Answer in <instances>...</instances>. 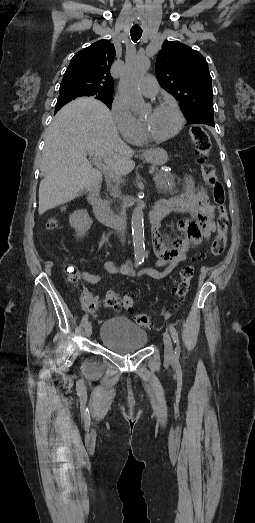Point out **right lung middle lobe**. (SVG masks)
<instances>
[{"mask_svg":"<svg viewBox=\"0 0 255 523\" xmlns=\"http://www.w3.org/2000/svg\"><path fill=\"white\" fill-rule=\"evenodd\" d=\"M82 96H93L95 99L105 103L110 109L113 102V97L111 95H91V94H79L74 92H60L58 101L70 102L72 99Z\"/></svg>","mask_w":255,"mask_h":523,"instance_id":"dd1d6c3e","label":"right lung middle lobe"}]
</instances>
